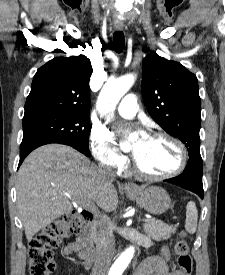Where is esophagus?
I'll return each mask as SVG.
<instances>
[{"instance_id":"esophagus-1","label":"esophagus","mask_w":225,"mask_h":275,"mask_svg":"<svg viewBox=\"0 0 225 275\" xmlns=\"http://www.w3.org/2000/svg\"><path fill=\"white\" fill-rule=\"evenodd\" d=\"M122 29H123L122 25H116L115 26V30H117V31H121ZM124 188L125 189H135L136 185L132 182H127V183L124 184Z\"/></svg>"}]
</instances>
